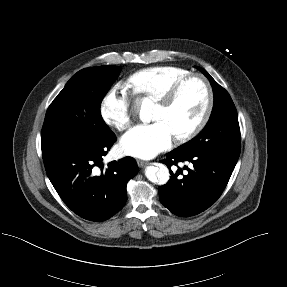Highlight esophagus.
Segmentation results:
<instances>
[{
	"instance_id": "1",
	"label": "esophagus",
	"mask_w": 287,
	"mask_h": 287,
	"mask_svg": "<svg viewBox=\"0 0 287 287\" xmlns=\"http://www.w3.org/2000/svg\"><path fill=\"white\" fill-rule=\"evenodd\" d=\"M137 164L139 167H145L146 165H148L149 163L143 160H137Z\"/></svg>"
}]
</instances>
